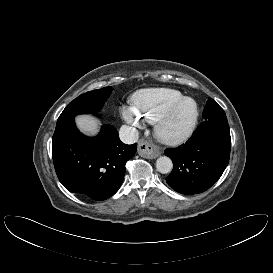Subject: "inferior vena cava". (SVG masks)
<instances>
[{
    "instance_id": "inferior-vena-cava-1",
    "label": "inferior vena cava",
    "mask_w": 273,
    "mask_h": 273,
    "mask_svg": "<svg viewBox=\"0 0 273 273\" xmlns=\"http://www.w3.org/2000/svg\"><path fill=\"white\" fill-rule=\"evenodd\" d=\"M119 136H120V139L123 143L133 144V143L137 142L139 132L134 127L123 125L120 128Z\"/></svg>"
}]
</instances>
